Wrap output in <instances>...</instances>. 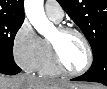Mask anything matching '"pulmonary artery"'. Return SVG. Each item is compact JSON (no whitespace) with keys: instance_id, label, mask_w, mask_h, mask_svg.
<instances>
[{"instance_id":"e3ab8cb5","label":"pulmonary artery","mask_w":107,"mask_h":89,"mask_svg":"<svg viewBox=\"0 0 107 89\" xmlns=\"http://www.w3.org/2000/svg\"><path fill=\"white\" fill-rule=\"evenodd\" d=\"M46 15L55 22L63 19L64 11L60 4L54 0H48L44 6Z\"/></svg>"}]
</instances>
